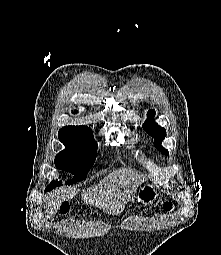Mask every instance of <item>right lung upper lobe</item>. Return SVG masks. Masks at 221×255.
Masks as SVG:
<instances>
[{
	"label": "right lung upper lobe",
	"mask_w": 221,
	"mask_h": 255,
	"mask_svg": "<svg viewBox=\"0 0 221 255\" xmlns=\"http://www.w3.org/2000/svg\"><path fill=\"white\" fill-rule=\"evenodd\" d=\"M63 129L79 130V131H84V132H92L91 129L87 126H66Z\"/></svg>",
	"instance_id": "cb5924a9"
}]
</instances>
